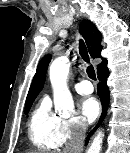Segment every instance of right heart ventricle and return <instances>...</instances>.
I'll list each match as a JSON object with an SVG mask.
<instances>
[{
	"instance_id": "right-heart-ventricle-1",
	"label": "right heart ventricle",
	"mask_w": 130,
	"mask_h": 153,
	"mask_svg": "<svg viewBox=\"0 0 130 153\" xmlns=\"http://www.w3.org/2000/svg\"><path fill=\"white\" fill-rule=\"evenodd\" d=\"M61 120V117L52 111L50 98L42 97L28 120V136L32 145L41 151H56L60 146Z\"/></svg>"
}]
</instances>
